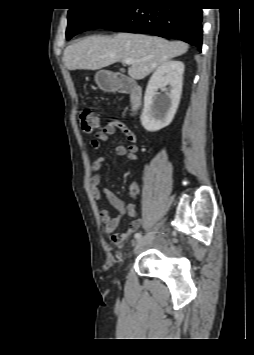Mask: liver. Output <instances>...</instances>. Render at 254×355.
Here are the masks:
<instances>
[{
	"mask_svg": "<svg viewBox=\"0 0 254 355\" xmlns=\"http://www.w3.org/2000/svg\"><path fill=\"white\" fill-rule=\"evenodd\" d=\"M189 45L142 34L93 35L66 47L63 62L68 70H98L131 58L128 74L144 79L164 62L187 52Z\"/></svg>",
	"mask_w": 254,
	"mask_h": 355,
	"instance_id": "6515ba94",
	"label": "liver"
}]
</instances>
